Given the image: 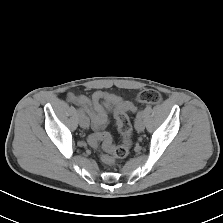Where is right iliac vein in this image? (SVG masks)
<instances>
[{"label": "right iliac vein", "instance_id": "right-iliac-vein-1", "mask_svg": "<svg viewBox=\"0 0 223 223\" xmlns=\"http://www.w3.org/2000/svg\"><path fill=\"white\" fill-rule=\"evenodd\" d=\"M80 126L82 128H88L89 127V119L84 114H80Z\"/></svg>", "mask_w": 223, "mask_h": 223}]
</instances>
